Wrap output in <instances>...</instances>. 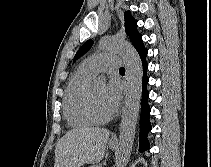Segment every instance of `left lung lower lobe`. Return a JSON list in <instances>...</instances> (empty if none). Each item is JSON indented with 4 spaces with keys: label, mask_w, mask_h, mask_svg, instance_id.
Segmentation results:
<instances>
[{
    "label": "left lung lower lobe",
    "mask_w": 211,
    "mask_h": 167,
    "mask_svg": "<svg viewBox=\"0 0 211 167\" xmlns=\"http://www.w3.org/2000/svg\"><path fill=\"white\" fill-rule=\"evenodd\" d=\"M138 53L141 58L143 67L142 103H141V116H140V147H139V151L143 152L150 148L147 140V133L151 130V124L149 121V115L151 109L148 104L149 91L147 90V84L149 81V78L146 74V71L148 69V63L146 61L147 51H140Z\"/></svg>",
    "instance_id": "1"
}]
</instances>
